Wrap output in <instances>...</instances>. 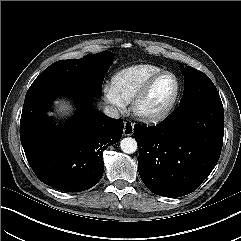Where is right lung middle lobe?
I'll use <instances>...</instances> for the list:
<instances>
[{"label":"right lung middle lobe","mask_w":241,"mask_h":241,"mask_svg":"<svg viewBox=\"0 0 241 241\" xmlns=\"http://www.w3.org/2000/svg\"><path fill=\"white\" fill-rule=\"evenodd\" d=\"M114 54L103 51L89 54L81 59L58 61L47 67L31 86L54 80H69L80 84L91 94L100 97L104 77L108 72Z\"/></svg>","instance_id":"1"}]
</instances>
